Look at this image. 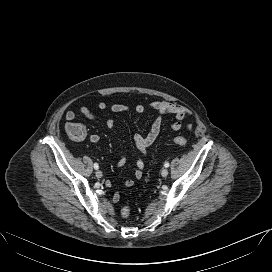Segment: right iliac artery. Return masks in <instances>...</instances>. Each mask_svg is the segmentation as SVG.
Here are the masks:
<instances>
[{"label":"right iliac artery","mask_w":272,"mask_h":272,"mask_svg":"<svg viewBox=\"0 0 272 272\" xmlns=\"http://www.w3.org/2000/svg\"><path fill=\"white\" fill-rule=\"evenodd\" d=\"M94 168L97 170L99 168V165L97 163H95Z\"/></svg>","instance_id":"right-iliac-artery-1"}]
</instances>
